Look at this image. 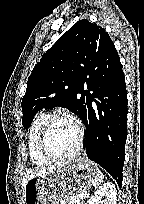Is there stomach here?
Wrapping results in <instances>:
<instances>
[{"label":"stomach","mask_w":144,"mask_h":204,"mask_svg":"<svg viewBox=\"0 0 144 204\" xmlns=\"http://www.w3.org/2000/svg\"><path fill=\"white\" fill-rule=\"evenodd\" d=\"M97 165L77 159L43 176L31 178L24 187V204H66L85 193L96 177Z\"/></svg>","instance_id":"stomach-1"}]
</instances>
